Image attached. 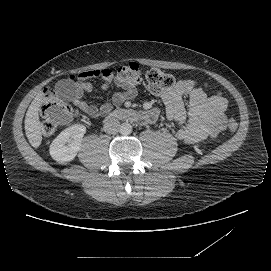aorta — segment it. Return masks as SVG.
<instances>
[{
    "label": "aorta",
    "mask_w": 271,
    "mask_h": 271,
    "mask_svg": "<svg viewBox=\"0 0 271 271\" xmlns=\"http://www.w3.org/2000/svg\"><path fill=\"white\" fill-rule=\"evenodd\" d=\"M120 133L124 136L132 133V125L128 122H124L120 126Z\"/></svg>",
    "instance_id": "aorta-1"
}]
</instances>
